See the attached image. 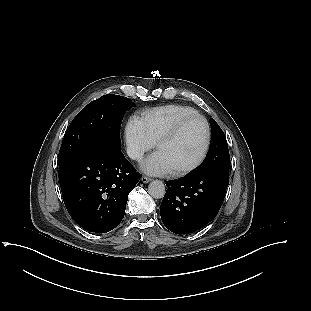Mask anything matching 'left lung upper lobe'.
Returning a JSON list of instances; mask_svg holds the SVG:
<instances>
[{
	"label": "left lung upper lobe",
	"instance_id": "obj_1",
	"mask_svg": "<svg viewBox=\"0 0 311 311\" xmlns=\"http://www.w3.org/2000/svg\"><path fill=\"white\" fill-rule=\"evenodd\" d=\"M211 145L204 163L193 174L214 172L229 177L230 157L226 137L214 119H210Z\"/></svg>",
	"mask_w": 311,
	"mask_h": 311
}]
</instances>
